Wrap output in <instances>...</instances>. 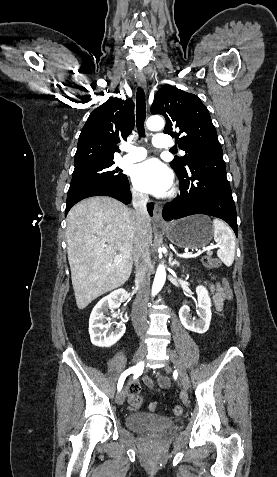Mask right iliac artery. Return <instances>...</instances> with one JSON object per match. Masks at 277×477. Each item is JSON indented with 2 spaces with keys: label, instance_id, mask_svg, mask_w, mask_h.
<instances>
[{
  "label": "right iliac artery",
  "instance_id": "obj_1",
  "mask_svg": "<svg viewBox=\"0 0 277 477\" xmlns=\"http://www.w3.org/2000/svg\"><path fill=\"white\" fill-rule=\"evenodd\" d=\"M143 367H144V363L140 362L136 366L125 370L119 378L118 385H117L118 391L121 390L123 383L128 375H130L131 373H141L143 370Z\"/></svg>",
  "mask_w": 277,
  "mask_h": 477
}]
</instances>
